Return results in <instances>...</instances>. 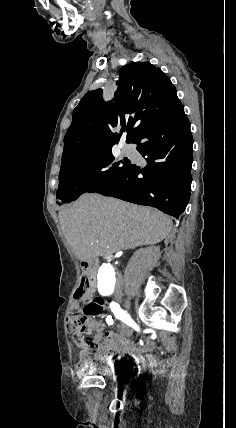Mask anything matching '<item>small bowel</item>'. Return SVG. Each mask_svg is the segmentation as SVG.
Segmentation results:
<instances>
[{"label": "small bowel", "mask_w": 236, "mask_h": 428, "mask_svg": "<svg viewBox=\"0 0 236 428\" xmlns=\"http://www.w3.org/2000/svg\"><path fill=\"white\" fill-rule=\"evenodd\" d=\"M132 330L121 325L117 332H106L98 353L94 358H90L84 351L78 355V373H84L94 369L97 364L102 363L107 366H113L116 361L129 355L139 364H143L141 351H151L154 348V341L147 339L141 346H136L130 339ZM152 362V361H151Z\"/></svg>", "instance_id": "obj_1"}]
</instances>
